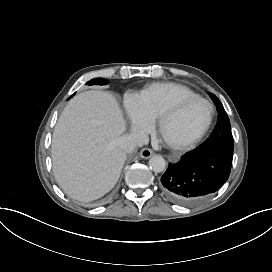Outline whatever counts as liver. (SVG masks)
Masks as SVG:
<instances>
[{"mask_svg":"<svg viewBox=\"0 0 272 272\" xmlns=\"http://www.w3.org/2000/svg\"><path fill=\"white\" fill-rule=\"evenodd\" d=\"M124 120L110 93L87 91L64 108L53 133V172L72 198L90 202L108 193L126 160L116 139Z\"/></svg>","mask_w":272,"mask_h":272,"instance_id":"liver-1","label":"liver"}]
</instances>
